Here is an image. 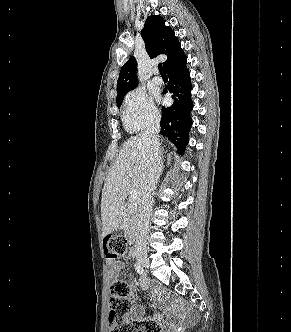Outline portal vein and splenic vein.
<instances>
[{"instance_id":"obj_1","label":"portal vein and splenic vein","mask_w":291,"mask_h":332,"mask_svg":"<svg viewBox=\"0 0 291 332\" xmlns=\"http://www.w3.org/2000/svg\"><path fill=\"white\" fill-rule=\"evenodd\" d=\"M140 196H141V192L139 190H132L130 191V198L131 200L135 201V200H138L140 199Z\"/></svg>"}]
</instances>
